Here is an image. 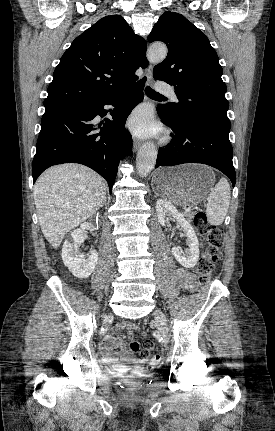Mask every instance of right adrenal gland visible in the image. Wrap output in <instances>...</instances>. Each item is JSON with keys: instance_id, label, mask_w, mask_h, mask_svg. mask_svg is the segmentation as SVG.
Wrapping results in <instances>:
<instances>
[{"instance_id": "1", "label": "right adrenal gland", "mask_w": 275, "mask_h": 431, "mask_svg": "<svg viewBox=\"0 0 275 431\" xmlns=\"http://www.w3.org/2000/svg\"><path fill=\"white\" fill-rule=\"evenodd\" d=\"M104 205H106V198H105V200L102 203V206H104Z\"/></svg>"}]
</instances>
